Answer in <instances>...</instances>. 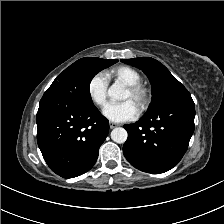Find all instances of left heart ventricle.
<instances>
[{
  "label": "left heart ventricle",
  "mask_w": 224,
  "mask_h": 224,
  "mask_svg": "<svg viewBox=\"0 0 224 224\" xmlns=\"http://www.w3.org/2000/svg\"><path fill=\"white\" fill-rule=\"evenodd\" d=\"M122 100H131L136 104L135 99L133 98V96L131 95V93L126 89L123 96H122ZM137 105V104H136Z\"/></svg>",
  "instance_id": "1"
}]
</instances>
